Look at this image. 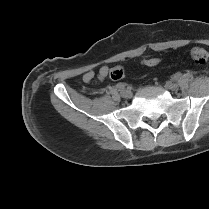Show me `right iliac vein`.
<instances>
[{"label":"right iliac vein","mask_w":209,"mask_h":209,"mask_svg":"<svg viewBox=\"0 0 209 209\" xmlns=\"http://www.w3.org/2000/svg\"><path fill=\"white\" fill-rule=\"evenodd\" d=\"M121 96L124 98H131L132 92L128 89H124L120 92Z\"/></svg>","instance_id":"1"}]
</instances>
